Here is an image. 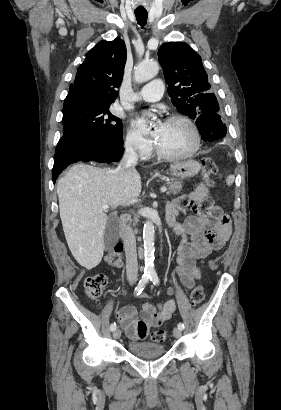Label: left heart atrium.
Returning <instances> with one entry per match:
<instances>
[{"label": "left heart atrium", "instance_id": "1", "mask_svg": "<svg viewBox=\"0 0 281 410\" xmlns=\"http://www.w3.org/2000/svg\"><path fill=\"white\" fill-rule=\"evenodd\" d=\"M137 126H138L142 131H146V132L148 131L147 125H146V121H145L144 119H139V120L137 121ZM163 126H164V122L159 121V122L156 124L154 130L150 132V133L152 134V136L157 139L158 136H159V134H160V132H161V130H162V128H163Z\"/></svg>", "mask_w": 281, "mask_h": 410}]
</instances>
